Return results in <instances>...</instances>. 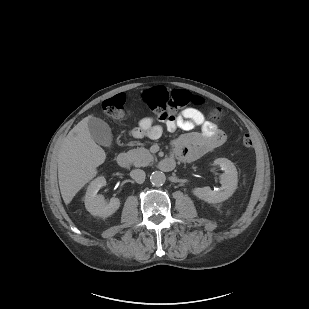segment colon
I'll return each mask as SVG.
<instances>
[{
	"label": "colon",
	"instance_id": "obj_1",
	"mask_svg": "<svg viewBox=\"0 0 309 309\" xmlns=\"http://www.w3.org/2000/svg\"><path fill=\"white\" fill-rule=\"evenodd\" d=\"M145 102L150 109L157 114V119L160 122L165 121L172 116L171 112L186 107L187 105L201 106L204 104V99L199 95H194L187 90L173 89L168 90L163 86L154 87L145 93ZM104 113L117 121L125 117V97L123 94H117L102 103ZM212 117L215 120L222 119V110L214 108ZM242 145L245 148H251L253 145L252 138L246 134L242 138Z\"/></svg>",
	"mask_w": 309,
	"mask_h": 309
}]
</instances>
